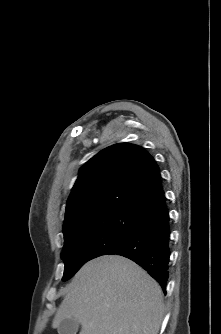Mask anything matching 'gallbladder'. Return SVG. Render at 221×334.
I'll list each match as a JSON object with an SVG mask.
<instances>
[{
	"instance_id": "bac80fb5",
	"label": "gallbladder",
	"mask_w": 221,
	"mask_h": 334,
	"mask_svg": "<svg viewBox=\"0 0 221 334\" xmlns=\"http://www.w3.org/2000/svg\"><path fill=\"white\" fill-rule=\"evenodd\" d=\"M79 322L73 318L64 319L58 326V334H76Z\"/></svg>"
}]
</instances>
